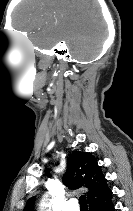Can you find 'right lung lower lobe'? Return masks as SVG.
<instances>
[{"mask_svg":"<svg viewBox=\"0 0 133 211\" xmlns=\"http://www.w3.org/2000/svg\"><path fill=\"white\" fill-rule=\"evenodd\" d=\"M90 211H115L111 198L105 202L90 206Z\"/></svg>","mask_w":133,"mask_h":211,"instance_id":"1","label":"right lung lower lobe"}]
</instances>
